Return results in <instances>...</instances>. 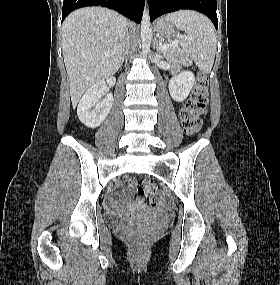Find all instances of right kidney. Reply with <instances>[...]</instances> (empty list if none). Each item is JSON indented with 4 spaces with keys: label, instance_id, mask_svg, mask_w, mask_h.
<instances>
[{
    "label": "right kidney",
    "instance_id": "ca27d5eb",
    "mask_svg": "<svg viewBox=\"0 0 280 285\" xmlns=\"http://www.w3.org/2000/svg\"><path fill=\"white\" fill-rule=\"evenodd\" d=\"M115 82L114 77L108 78L106 82L101 80L91 86L81 98L77 115L79 120L88 128L99 127L110 112L113 103L112 93H108L102 101L99 100L104 95L107 85L113 87Z\"/></svg>",
    "mask_w": 280,
    "mask_h": 285
}]
</instances>
